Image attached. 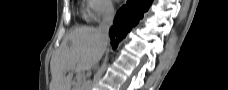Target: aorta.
Wrapping results in <instances>:
<instances>
[{"mask_svg":"<svg viewBox=\"0 0 228 90\" xmlns=\"http://www.w3.org/2000/svg\"><path fill=\"white\" fill-rule=\"evenodd\" d=\"M91 88H92V81L91 80L85 81L82 85V90H91Z\"/></svg>","mask_w":228,"mask_h":90,"instance_id":"aorta-1","label":"aorta"}]
</instances>
